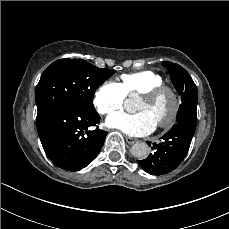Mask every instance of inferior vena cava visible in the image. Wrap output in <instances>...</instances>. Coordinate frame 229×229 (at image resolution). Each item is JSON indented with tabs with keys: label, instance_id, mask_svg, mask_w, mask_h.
Here are the masks:
<instances>
[{
	"label": "inferior vena cava",
	"instance_id": "inferior-vena-cava-1",
	"mask_svg": "<svg viewBox=\"0 0 229 229\" xmlns=\"http://www.w3.org/2000/svg\"><path fill=\"white\" fill-rule=\"evenodd\" d=\"M139 145H141V144H135V145L132 147V150H135V151H136V150L139 148V147H138Z\"/></svg>",
	"mask_w": 229,
	"mask_h": 229
}]
</instances>
